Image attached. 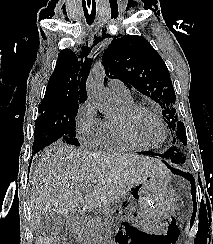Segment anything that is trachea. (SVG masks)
Segmentation results:
<instances>
[{
	"mask_svg": "<svg viewBox=\"0 0 213 244\" xmlns=\"http://www.w3.org/2000/svg\"><path fill=\"white\" fill-rule=\"evenodd\" d=\"M84 12H85V15L88 18L89 22H92L96 15V8L92 7L91 13H88V10L85 8Z\"/></svg>",
	"mask_w": 213,
	"mask_h": 244,
	"instance_id": "trachea-1",
	"label": "trachea"
}]
</instances>
